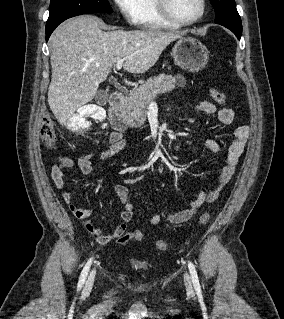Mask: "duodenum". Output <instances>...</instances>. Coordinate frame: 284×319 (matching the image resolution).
Listing matches in <instances>:
<instances>
[{
  "instance_id": "obj_1",
  "label": "duodenum",
  "mask_w": 284,
  "mask_h": 319,
  "mask_svg": "<svg viewBox=\"0 0 284 319\" xmlns=\"http://www.w3.org/2000/svg\"><path fill=\"white\" fill-rule=\"evenodd\" d=\"M125 96L122 92L115 91L110 95L109 121L111 127L117 132H124L128 128L126 119L122 113Z\"/></svg>"
}]
</instances>
